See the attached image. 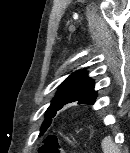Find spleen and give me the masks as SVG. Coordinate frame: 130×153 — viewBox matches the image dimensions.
<instances>
[{
  "mask_svg": "<svg viewBox=\"0 0 130 153\" xmlns=\"http://www.w3.org/2000/svg\"><path fill=\"white\" fill-rule=\"evenodd\" d=\"M102 150L104 153H118L119 149L115 146L110 136H107L102 141Z\"/></svg>",
  "mask_w": 130,
  "mask_h": 153,
  "instance_id": "1",
  "label": "spleen"
}]
</instances>
